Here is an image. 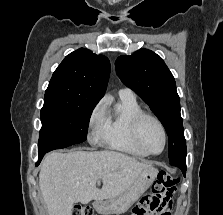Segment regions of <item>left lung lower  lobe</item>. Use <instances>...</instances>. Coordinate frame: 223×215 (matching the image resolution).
Segmentation results:
<instances>
[{"mask_svg":"<svg viewBox=\"0 0 223 215\" xmlns=\"http://www.w3.org/2000/svg\"><path fill=\"white\" fill-rule=\"evenodd\" d=\"M173 165V164H171ZM173 166H176L178 168H180V170L182 171L183 175L185 176L186 175V164L184 165H173Z\"/></svg>","mask_w":223,"mask_h":215,"instance_id":"1","label":"left lung lower lobe"}]
</instances>
